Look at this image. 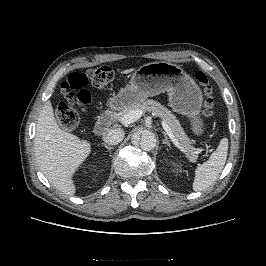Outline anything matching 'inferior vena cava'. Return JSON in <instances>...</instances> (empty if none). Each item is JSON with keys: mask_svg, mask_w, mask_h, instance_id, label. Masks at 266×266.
Wrapping results in <instances>:
<instances>
[{"mask_svg": "<svg viewBox=\"0 0 266 266\" xmlns=\"http://www.w3.org/2000/svg\"><path fill=\"white\" fill-rule=\"evenodd\" d=\"M125 132L121 128H112L109 129L104 135L103 140L109 145H117L124 138Z\"/></svg>", "mask_w": 266, "mask_h": 266, "instance_id": "inferior-vena-cava-1", "label": "inferior vena cava"}]
</instances>
